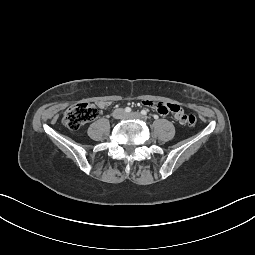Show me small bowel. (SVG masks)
I'll return each mask as SVG.
<instances>
[{"instance_id": "1", "label": "small bowel", "mask_w": 255, "mask_h": 255, "mask_svg": "<svg viewBox=\"0 0 255 255\" xmlns=\"http://www.w3.org/2000/svg\"><path fill=\"white\" fill-rule=\"evenodd\" d=\"M108 101H100L99 107L102 109H106L109 106ZM145 106H148L154 110H156L161 115L171 114L172 118L178 125H185L188 122V118L190 116V111L187 108H182L179 105L164 103L155 100H145L143 101Z\"/></svg>"}]
</instances>
